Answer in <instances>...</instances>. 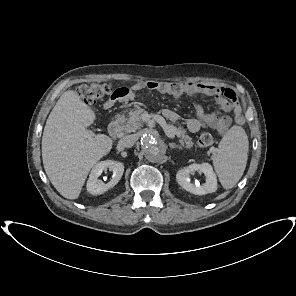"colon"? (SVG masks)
<instances>
[{"label": "colon", "mask_w": 296, "mask_h": 296, "mask_svg": "<svg viewBox=\"0 0 296 296\" xmlns=\"http://www.w3.org/2000/svg\"><path fill=\"white\" fill-rule=\"evenodd\" d=\"M126 93V88L113 89L107 83H90L83 84L78 88V95L88 105H94L106 96H123ZM214 142V137L209 132H203L198 139V143L202 147L211 146Z\"/></svg>", "instance_id": "obj_1"}]
</instances>
